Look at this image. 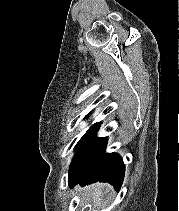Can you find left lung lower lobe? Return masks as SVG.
I'll return each mask as SVG.
<instances>
[{
	"label": "left lung lower lobe",
	"mask_w": 179,
	"mask_h": 211,
	"mask_svg": "<svg viewBox=\"0 0 179 211\" xmlns=\"http://www.w3.org/2000/svg\"><path fill=\"white\" fill-rule=\"evenodd\" d=\"M100 123L94 124L77 153L72 159L68 171V185L85 186L93 182H109L118 191L124 179L125 165L116 153H105L107 138H97Z\"/></svg>",
	"instance_id": "obj_1"
}]
</instances>
